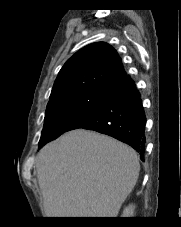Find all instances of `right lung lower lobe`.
Here are the masks:
<instances>
[{"instance_id": "1", "label": "right lung lower lobe", "mask_w": 181, "mask_h": 227, "mask_svg": "<svg viewBox=\"0 0 181 227\" xmlns=\"http://www.w3.org/2000/svg\"><path fill=\"white\" fill-rule=\"evenodd\" d=\"M145 124L140 93L134 81L126 75L113 86L97 111L70 130L84 128L112 136L133 147L144 160Z\"/></svg>"}]
</instances>
